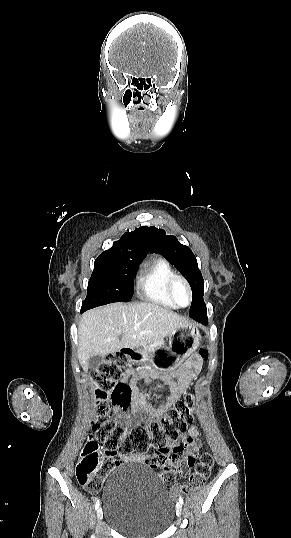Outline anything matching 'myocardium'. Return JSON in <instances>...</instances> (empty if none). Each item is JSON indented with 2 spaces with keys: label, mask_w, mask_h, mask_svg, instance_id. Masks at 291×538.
<instances>
[{
  "label": "myocardium",
  "mask_w": 291,
  "mask_h": 538,
  "mask_svg": "<svg viewBox=\"0 0 291 538\" xmlns=\"http://www.w3.org/2000/svg\"><path fill=\"white\" fill-rule=\"evenodd\" d=\"M178 284L184 285L186 290H187L188 302L185 305H181L176 299L175 288H176V286ZM168 294H169L170 299L174 303V305L176 307H178V308H186V307L190 306L192 301H193L192 288H191L189 282L187 281V279H185L181 275H175L169 280V282H168Z\"/></svg>",
  "instance_id": "obj_1"
}]
</instances>
